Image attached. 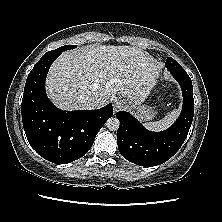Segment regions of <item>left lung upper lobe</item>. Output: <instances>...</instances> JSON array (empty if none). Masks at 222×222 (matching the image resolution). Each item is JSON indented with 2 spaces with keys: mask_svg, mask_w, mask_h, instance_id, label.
I'll return each mask as SVG.
<instances>
[{
  "mask_svg": "<svg viewBox=\"0 0 222 222\" xmlns=\"http://www.w3.org/2000/svg\"><path fill=\"white\" fill-rule=\"evenodd\" d=\"M166 67L168 69L170 68H181L180 64L178 62H176L173 58L168 57L166 60Z\"/></svg>",
  "mask_w": 222,
  "mask_h": 222,
  "instance_id": "obj_1",
  "label": "left lung upper lobe"
}]
</instances>
